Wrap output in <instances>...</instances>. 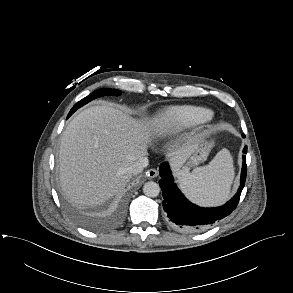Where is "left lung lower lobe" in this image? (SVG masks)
Instances as JSON below:
<instances>
[{
  "label": "left lung lower lobe",
  "mask_w": 293,
  "mask_h": 293,
  "mask_svg": "<svg viewBox=\"0 0 293 293\" xmlns=\"http://www.w3.org/2000/svg\"><path fill=\"white\" fill-rule=\"evenodd\" d=\"M243 152H247V146L244 147ZM246 167V156L243 155L240 187L231 200L220 207L204 208L199 207L186 199L173 182L168 163H162L159 169L161 176L159 184L163 192V208L166 212L169 225L174 229L185 233L201 232L209 229L228 216L236 208L239 202L241 192L245 185L247 173Z\"/></svg>",
  "instance_id": "obj_1"
}]
</instances>
